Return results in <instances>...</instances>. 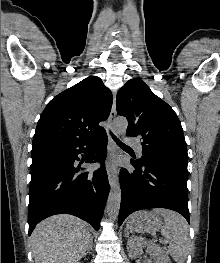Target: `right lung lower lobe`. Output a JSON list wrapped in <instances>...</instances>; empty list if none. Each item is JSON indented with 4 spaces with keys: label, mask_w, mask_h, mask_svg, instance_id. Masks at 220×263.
I'll return each instance as SVG.
<instances>
[{
    "label": "right lung lower lobe",
    "mask_w": 220,
    "mask_h": 263,
    "mask_svg": "<svg viewBox=\"0 0 220 263\" xmlns=\"http://www.w3.org/2000/svg\"><path fill=\"white\" fill-rule=\"evenodd\" d=\"M106 145L107 135L103 133L86 143L32 149L29 235L41 220L60 213L75 215L99 229L109 194ZM84 149L88 151L86 163H101L94 172L78 173L83 169L75 160Z\"/></svg>",
    "instance_id": "1"
}]
</instances>
